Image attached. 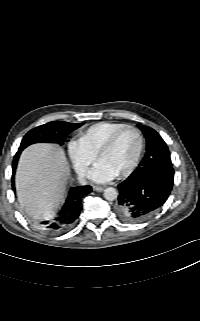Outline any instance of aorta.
Segmentation results:
<instances>
[{
    "label": "aorta",
    "mask_w": 200,
    "mask_h": 321,
    "mask_svg": "<svg viewBox=\"0 0 200 321\" xmlns=\"http://www.w3.org/2000/svg\"><path fill=\"white\" fill-rule=\"evenodd\" d=\"M118 197V192L113 187H108L104 190V198L108 201H114Z\"/></svg>",
    "instance_id": "762f6f07"
}]
</instances>
